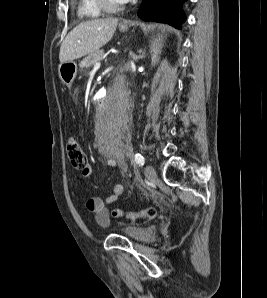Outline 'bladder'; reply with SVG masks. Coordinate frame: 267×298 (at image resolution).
Here are the masks:
<instances>
[{"label":"bladder","instance_id":"obj_1","mask_svg":"<svg viewBox=\"0 0 267 298\" xmlns=\"http://www.w3.org/2000/svg\"><path fill=\"white\" fill-rule=\"evenodd\" d=\"M124 234L137 242L140 243H151L157 238L156 231L153 227H127L124 229Z\"/></svg>","mask_w":267,"mask_h":298}]
</instances>
